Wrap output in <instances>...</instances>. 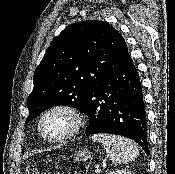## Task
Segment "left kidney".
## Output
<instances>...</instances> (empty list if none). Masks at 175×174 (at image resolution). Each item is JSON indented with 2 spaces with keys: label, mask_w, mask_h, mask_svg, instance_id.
Instances as JSON below:
<instances>
[{
  "label": "left kidney",
  "mask_w": 175,
  "mask_h": 174,
  "mask_svg": "<svg viewBox=\"0 0 175 174\" xmlns=\"http://www.w3.org/2000/svg\"><path fill=\"white\" fill-rule=\"evenodd\" d=\"M107 174H131V173L126 169H121V170L113 171V172H110V173H107Z\"/></svg>",
  "instance_id": "left-kidney-1"
}]
</instances>
